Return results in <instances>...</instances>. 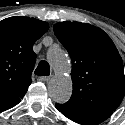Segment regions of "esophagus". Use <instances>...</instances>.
<instances>
[{
  "label": "esophagus",
  "mask_w": 125,
  "mask_h": 125,
  "mask_svg": "<svg viewBox=\"0 0 125 125\" xmlns=\"http://www.w3.org/2000/svg\"><path fill=\"white\" fill-rule=\"evenodd\" d=\"M39 80L41 82H48L51 80V76H41V77H39Z\"/></svg>",
  "instance_id": "1"
}]
</instances>
